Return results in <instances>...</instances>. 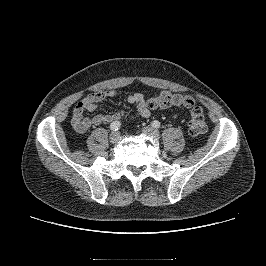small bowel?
I'll list each match as a JSON object with an SVG mask.
<instances>
[{
  "instance_id": "1",
  "label": "small bowel",
  "mask_w": 266,
  "mask_h": 266,
  "mask_svg": "<svg viewBox=\"0 0 266 266\" xmlns=\"http://www.w3.org/2000/svg\"><path fill=\"white\" fill-rule=\"evenodd\" d=\"M115 96L116 92L114 90H105L90 93L81 99L74 107L72 114V126L74 130L78 133H84L93 126L121 120L125 115L123 111L106 115L94 114L90 117L85 115L86 112L95 111L103 100L111 99ZM127 102L135 105L139 114L145 118L149 117L154 109L149 107L148 102L141 93L128 96Z\"/></svg>"
}]
</instances>
